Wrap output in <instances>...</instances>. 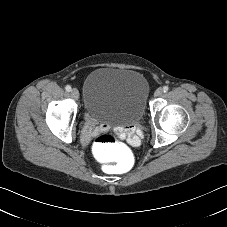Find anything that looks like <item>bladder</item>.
<instances>
[{
	"label": "bladder",
	"instance_id": "31cf9c89",
	"mask_svg": "<svg viewBox=\"0 0 227 227\" xmlns=\"http://www.w3.org/2000/svg\"><path fill=\"white\" fill-rule=\"evenodd\" d=\"M148 84L137 71L112 67L93 70L85 79L84 106L99 121L135 123L144 114Z\"/></svg>",
	"mask_w": 227,
	"mask_h": 227
}]
</instances>
